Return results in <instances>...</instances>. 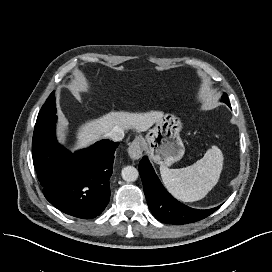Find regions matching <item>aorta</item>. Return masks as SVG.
<instances>
[{"mask_svg":"<svg viewBox=\"0 0 272 272\" xmlns=\"http://www.w3.org/2000/svg\"><path fill=\"white\" fill-rule=\"evenodd\" d=\"M138 170L133 166H126L122 169L121 176L126 182L136 181L138 178Z\"/></svg>","mask_w":272,"mask_h":272,"instance_id":"762f6f07","label":"aorta"}]
</instances>
